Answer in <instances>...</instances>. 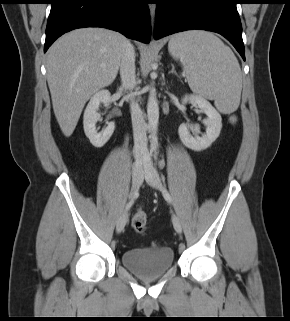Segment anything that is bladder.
Returning <instances> with one entry per match:
<instances>
[{
    "label": "bladder",
    "mask_w": 290,
    "mask_h": 321,
    "mask_svg": "<svg viewBox=\"0 0 290 321\" xmlns=\"http://www.w3.org/2000/svg\"><path fill=\"white\" fill-rule=\"evenodd\" d=\"M123 265L143 278L161 276L173 265L174 252L169 248L131 249L121 255Z\"/></svg>",
    "instance_id": "31cf9c89"
}]
</instances>
